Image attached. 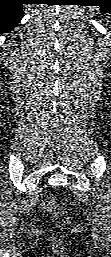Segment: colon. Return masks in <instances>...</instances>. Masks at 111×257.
<instances>
[{
  "label": "colon",
  "mask_w": 111,
  "mask_h": 257,
  "mask_svg": "<svg viewBox=\"0 0 111 257\" xmlns=\"http://www.w3.org/2000/svg\"><path fill=\"white\" fill-rule=\"evenodd\" d=\"M44 206L53 212H63L62 208L57 204L56 200L52 196H47L44 199Z\"/></svg>",
  "instance_id": "colon-1"
}]
</instances>
